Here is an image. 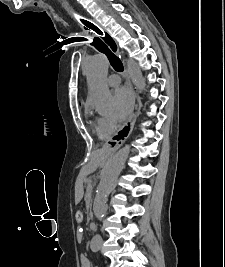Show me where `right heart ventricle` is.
I'll return each instance as SVG.
<instances>
[{"instance_id":"1","label":"right heart ventricle","mask_w":225,"mask_h":267,"mask_svg":"<svg viewBox=\"0 0 225 267\" xmlns=\"http://www.w3.org/2000/svg\"><path fill=\"white\" fill-rule=\"evenodd\" d=\"M96 129H97L98 134L101 135L100 132H99V130H98V128H96ZM101 136H102V135H101Z\"/></svg>"}]
</instances>
